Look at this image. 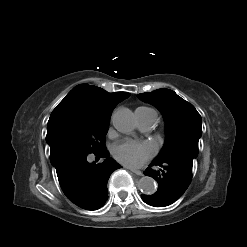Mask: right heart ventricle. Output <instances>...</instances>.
Masks as SVG:
<instances>
[{
  "label": "right heart ventricle",
  "instance_id": "obj_1",
  "mask_svg": "<svg viewBox=\"0 0 247 247\" xmlns=\"http://www.w3.org/2000/svg\"><path fill=\"white\" fill-rule=\"evenodd\" d=\"M138 109L144 112H155L153 109L148 108V107H139Z\"/></svg>",
  "mask_w": 247,
  "mask_h": 247
}]
</instances>
